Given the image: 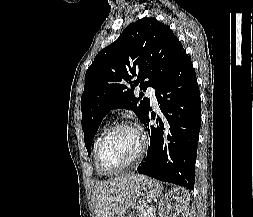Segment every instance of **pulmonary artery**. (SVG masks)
<instances>
[{
	"instance_id": "pulmonary-artery-1",
	"label": "pulmonary artery",
	"mask_w": 253,
	"mask_h": 217,
	"mask_svg": "<svg viewBox=\"0 0 253 217\" xmlns=\"http://www.w3.org/2000/svg\"><path fill=\"white\" fill-rule=\"evenodd\" d=\"M147 95L149 96V99L152 103V105L156 108L158 103H157V98H156V90L153 87H148L146 90Z\"/></svg>"
}]
</instances>
